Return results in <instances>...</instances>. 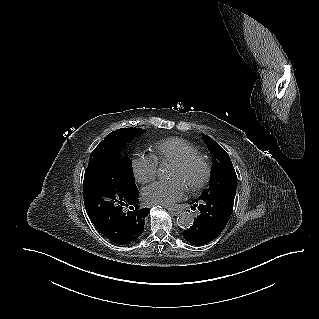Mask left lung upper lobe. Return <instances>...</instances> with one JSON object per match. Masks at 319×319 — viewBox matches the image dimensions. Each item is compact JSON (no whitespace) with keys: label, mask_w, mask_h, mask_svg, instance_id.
Segmentation results:
<instances>
[{"label":"left lung upper lobe","mask_w":319,"mask_h":319,"mask_svg":"<svg viewBox=\"0 0 319 319\" xmlns=\"http://www.w3.org/2000/svg\"><path fill=\"white\" fill-rule=\"evenodd\" d=\"M209 150L213 154L210 184L197 199L218 194L224 191L236 190L237 176L227 152L211 137L203 135Z\"/></svg>","instance_id":"5c2ea615"}]
</instances>
